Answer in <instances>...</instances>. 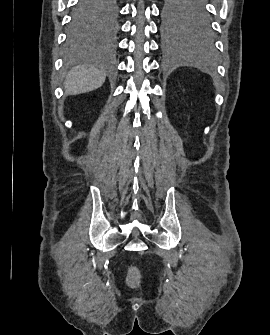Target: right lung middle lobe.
I'll list each match as a JSON object with an SVG mask.
<instances>
[{
  "instance_id": "right-lung-middle-lobe-1",
  "label": "right lung middle lobe",
  "mask_w": 270,
  "mask_h": 335,
  "mask_svg": "<svg viewBox=\"0 0 270 335\" xmlns=\"http://www.w3.org/2000/svg\"><path fill=\"white\" fill-rule=\"evenodd\" d=\"M118 10V0H78L71 12L68 27L70 44L83 41L97 25L113 26Z\"/></svg>"
}]
</instances>
